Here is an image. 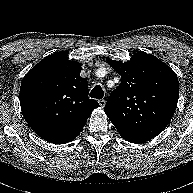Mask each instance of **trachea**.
I'll use <instances>...</instances> for the list:
<instances>
[{
	"mask_svg": "<svg viewBox=\"0 0 193 193\" xmlns=\"http://www.w3.org/2000/svg\"><path fill=\"white\" fill-rule=\"evenodd\" d=\"M103 96H104V91L100 85H96L90 93V97L95 99H102Z\"/></svg>",
	"mask_w": 193,
	"mask_h": 193,
	"instance_id": "obj_1",
	"label": "trachea"
}]
</instances>
